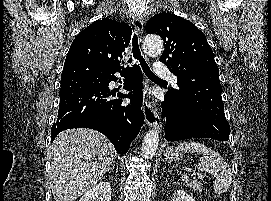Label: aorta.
Here are the masks:
<instances>
[{
  "label": "aorta",
  "mask_w": 271,
  "mask_h": 201,
  "mask_svg": "<svg viewBox=\"0 0 271 201\" xmlns=\"http://www.w3.org/2000/svg\"><path fill=\"white\" fill-rule=\"evenodd\" d=\"M143 49L149 56L159 55L163 51V42L157 35H147L143 41ZM159 146V132L156 129L149 130L142 142V156L144 158H152Z\"/></svg>",
  "instance_id": "obj_1"
}]
</instances>
